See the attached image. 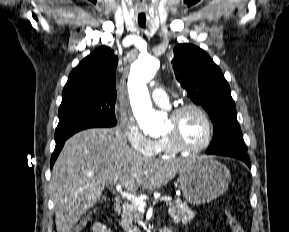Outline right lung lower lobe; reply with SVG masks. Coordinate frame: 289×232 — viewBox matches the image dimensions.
<instances>
[{
  "instance_id": "obj_1",
  "label": "right lung lower lobe",
  "mask_w": 289,
  "mask_h": 232,
  "mask_svg": "<svg viewBox=\"0 0 289 232\" xmlns=\"http://www.w3.org/2000/svg\"><path fill=\"white\" fill-rule=\"evenodd\" d=\"M64 143H65V140L56 143L55 150H54V152H53V154H52V157H51L50 167L53 166V164H54L56 158L58 157V155H59V153H60V151H61V149H62V147H63V145H64Z\"/></svg>"
}]
</instances>
